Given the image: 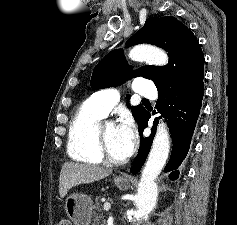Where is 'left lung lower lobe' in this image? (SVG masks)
I'll return each mask as SVG.
<instances>
[{"label":"left lung lower lobe","instance_id":"left-lung-lower-lobe-1","mask_svg":"<svg viewBox=\"0 0 237 225\" xmlns=\"http://www.w3.org/2000/svg\"><path fill=\"white\" fill-rule=\"evenodd\" d=\"M203 95V77L185 83L178 88L158 90L156 109L167 120L173 142L171 156L164 169L165 172L169 173V179L171 180H176L179 177L177 169L189 151L200 114ZM152 114H156V111H153ZM150 117L151 114L145 109L138 122L141 144L136 160L130 170L133 174H136L144 165L155 136L159 118H155L153 122L151 135L143 138V130L147 127Z\"/></svg>","mask_w":237,"mask_h":225}]
</instances>
